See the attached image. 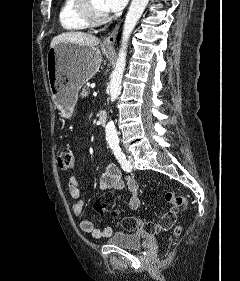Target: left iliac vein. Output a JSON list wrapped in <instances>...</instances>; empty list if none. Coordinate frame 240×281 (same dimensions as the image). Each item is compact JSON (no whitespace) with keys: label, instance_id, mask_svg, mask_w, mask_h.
<instances>
[{"label":"left iliac vein","instance_id":"4c4485c4","mask_svg":"<svg viewBox=\"0 0 240 281\" xmlns=\"http://www.w3.org/2000/svg\"><path fill=\"white\" fill-rule=\"evenodd\" d=\"M128 161L130 162L131 165H133L134 159L132 156H130V155L128 156Z\"/></svg>","mask_w":240,"mask_h":281}]
</instances>
